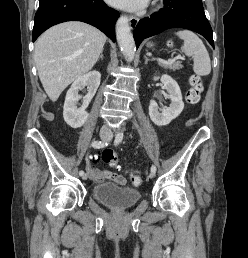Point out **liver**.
Wrapping results in <instances>:
<instances>
[{"label": "liver", "mask_w": 248, "mask_h": 258, "mask_svg": "<svg viewBox=\"0 0 248 258\" xmlns=\"http://www.w3.org/2000/svg\"><path fill=\"white\" fill-rule=\"evenodd\" d=\"M106 39L97 28L77 21L55 25L38 38L34 60L51 101H57L68 85L93 68Z\"/></svg>", "instance_id": "6515ba94"}]
</instances>
